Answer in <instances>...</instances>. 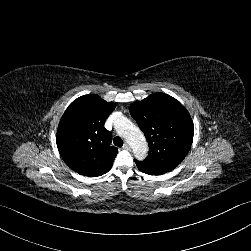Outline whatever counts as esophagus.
I'll return each instance as SVG.
<instances>
[{
	"label": "esophagus",
	"mask_w": 251,
	"mask_h": 251,
	"mask_svg": "<svg viewBox=\"0 0 251 251\" xmlns=\"http://www.w3.org/2000/svg\"><path fill=\"white\" fill-rule=\"evenodd\" d=\"M123 148L126 150H131V146L127 142L124 143Z\"/></svg>",
	"instance_id": "34e87169"
}]
</instances>
